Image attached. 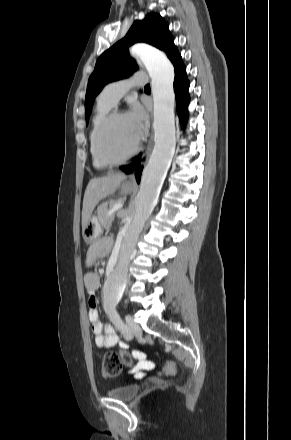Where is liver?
<instances>
[{
    "label": "liver",
    "mask_w": 291,
    "mask_h": 440,
    "mask_svg": "<svg viewBox=\"0 0 291 440\" xmlns=\"http://www.w3.org/2000/svg\"><path fill=\"white\" fill-rule=\"evenodd\" d=\"M126 176L116 173L91 179L85 190L82 209V229L86 227L96 205L107 196L113 194Z\"/></svg>",
    "instance_id": "obj_1"
}]
</instances>
